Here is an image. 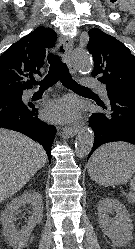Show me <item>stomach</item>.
<instances>
[{"label": "stomach", "instance_id": "0dacf381", "mask_svg": "<svg viewBox=\"0 0 135 249\" xmlns=\"http://www.w3.org/2000/svg\"><path fill=\"white\" fill-rule=\"evenodd\" d=\"M134 172V158L106 150L95 161L88 163V173L91 178L107 186L126 183Z\"/></svg>", "mask_w": 135, "mask_h": 249}]
</instances>
